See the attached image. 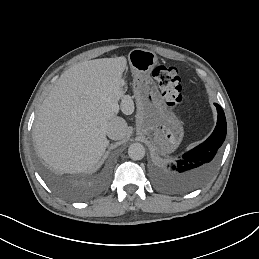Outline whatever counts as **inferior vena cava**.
<instances>
[{
    "instance_id": "602c4592",
    "label": "inferior vena cava",
    "mask_w": 259,
    "mask_h": 259,
    "mask_svg": "<svg viewBox=\"0 0 259 259\" xmlns=\"http://www.w3.org/2000/svg\"><path fill=\"white\" fill-rule=\"evenodd\" d=\"M104 131L110 139L121 140L127 135V124L122 118H118L110 121Z\"/></svg>"
}]
</instances>
